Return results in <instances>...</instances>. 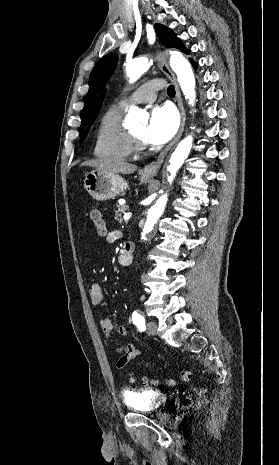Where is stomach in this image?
Listing matches in <instances>:
<instances>
[{"instance_id": "1", "label": "stomach", "mask_w": 279, "mask_h": 465, "mask_svg": "<svg viewBox=\"0 0 279 465\" xmlns=\"http://www.w3.org/2000/svg\"><path fill=\"white\" fill-rule=\"evenodd\" d=\"M150 180L151 177L145 175L140 177L142 183ZM84 187L95 200H107L124 192L128 188V183L118 174L92 170L85 176Z\"/></svg>"}]
</instances>
